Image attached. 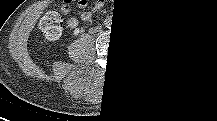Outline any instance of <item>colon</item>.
Here are the masks:
<instances>
[{"mask_svg": "<svg viewBox=\"0 0 217 121\" xmlns=\"http://www.w3.org/2000/svg\"><path fill=\"white\" fill-rule=\"evenodd\" d=\"M182 5H189L188 0H180ZM63 16L58 11H51L47 13L43 22L42 30L49 37L58 36L63 30Z\"/></svg>", "mask_w": 217, "mask_h": 121, "instance_id": "1", "label": "colon"}]
</instances>
